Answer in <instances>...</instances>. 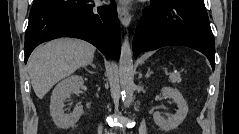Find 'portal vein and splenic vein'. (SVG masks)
<instances>
[{
	"label": "portal vein and splenic vein",
	"instance_id": "portal-vein-and-splenic-vein-1",
	"mask_svg": "<svg viewBox=\"0 0 239 134\" xmlns=\"http://www.w3.org/2000/svg\"><path fill=\"white\" fill-rule=\"evenodd\" d=\"M168 75H172V73L170 72V73H168Z\"/></svg>",
	"mask_w": 239,
	"mask_h": 134
}]
</instances>
